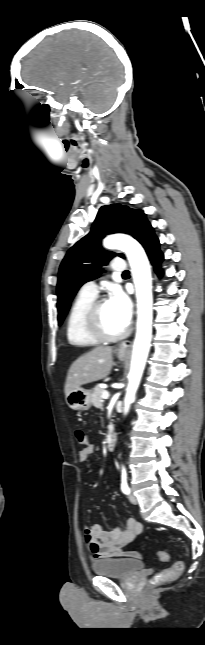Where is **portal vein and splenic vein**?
Segmentation results:
<instances>
[{
	"instance_id": "obj_1",
	"label": "portal vein and splenic vein",
	"mask_w": 205,
	"mask_h": 645,
	"mask_svg": "<svg viewBox=\"0 0 205 645\" xmlns=\"http://www.w3.org/2000/svg\"><path fill=\"white\" fill-rule=\"evenodd\" d=\"M102 398H103V399H108V398H109V393H108L107 391H104V392L102 393Z\"/></svg>"
}]
</instances>
